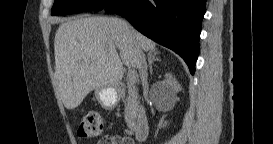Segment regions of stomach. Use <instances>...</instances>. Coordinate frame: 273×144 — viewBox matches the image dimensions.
<instances>
[{
  "instance_id": "obj_1",
  "label": "stomach",
  "mask_w": 273,
  "mask_h": 144,
  "mask_svg": "<svg viewBox=\"0 0 273 144\" xmlns=\"http://www.w3.org/2000/svg\"><path fill=\"white\" fill-rule=\"evenodd\" d=\"M95 97L102 108L113 110L119 103L120 92L117 88H98Z\"/></svg>"
}]
</instances>
